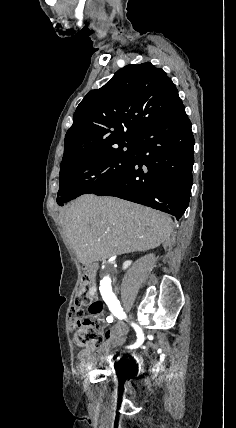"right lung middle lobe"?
Listing matches in <instances>:
<instances>
[{
    "mask_svg": "<svg viewBox=\"0 0 236 428\" xmlns=\"http://www.w3.org/2000/svg\"><path fill=\"white\" fill-rule=\"evenodd\" d=\"M133 160L134 141L126 140L61 169L57 204L63 206L82 194L99 191L128 168Z\"/></svg>",
    "mask_w": 236,
    "mask_h": 428,
    "instance_id": "dd1d6c3e",
    "label": "right lung middle lobe"
}]
</instances>
